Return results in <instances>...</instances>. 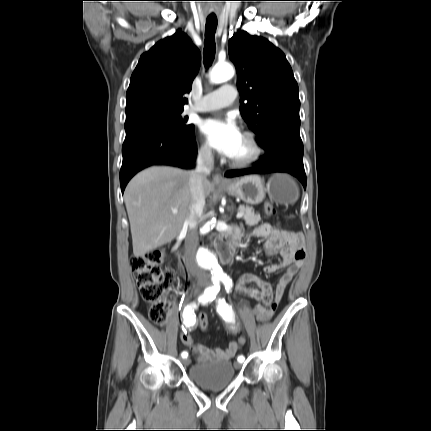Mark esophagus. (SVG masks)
Masks as SVG:
<instances>
[{"label":"esophagus","instance_id":"obj_1","mask_svg":"<svg viewBox=\"0 0 431 431\" xmlns=\"http://www.w3.org/2000/svg\"><path fill=\"white\" fill-rule=\"evenodd\" d=\"M213 181L218 184H228L229 181L225 179L219 172L213 174Z\"/></svg>","mask_w":431,"mask_h":431}]
</instances>
